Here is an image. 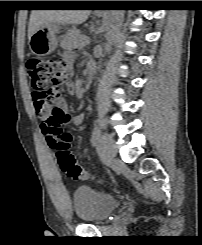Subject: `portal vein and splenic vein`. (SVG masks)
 Returning <instances> with one entry per match:
<instances>
[{
    "label": "portal vein and splenic vein",
    "mask_w": 202,
    "mask_h": 245,
    "mask_svg": "<svg viewBox=\"0 0 202 245\" xmlns=\"http://www.w3.org/2000/svg\"><path fill=\"white\" fill-rule=\"evenodd\" d=\"M90 41H89V39L88 38H85L84 39V43H89Z\"/></svg>",
    "instance_id": "18ae733b"
}]
</instances>
